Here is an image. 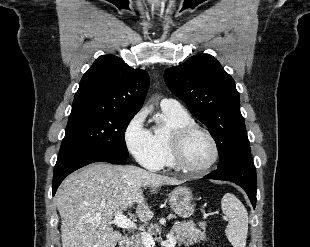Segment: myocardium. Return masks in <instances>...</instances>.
<instances>
[{"mask_svg": "<svg viewBox=\"0 0 310 247\" xmlns=\"http://www.w3.org/2000/svg\"><path fill=\"white\" fill-rule=\"evenodd\" d=\"M196 132H201L205 134L210 140L213 147L212 160L208 164L200 168H193L189 166L186 162L185 157L186 141L192 134ZM171 152L175 166L190 175H202L206 173L213 166H215L220 156L219 146L213 134L207 128L196 123L182 125L173 130L171 135Z\"/></svg>", "mask_w": 310, "mask_h": 247, "instance_id": "f54148a6", "label": "myocardium"}]
</instances>
